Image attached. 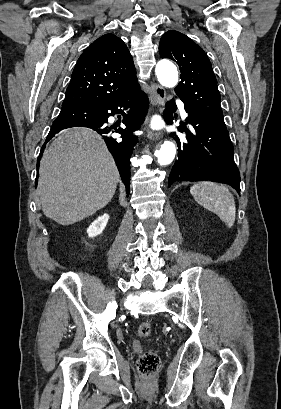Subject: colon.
<instances>
[{
  "mask_svg": "<svg viewBox=\"0 0 281 409\" xmlns=\"http://www.w3.org/2000/svg\"><path fill=\"white\" fill-rule=\"evenodd\" d=\"M136 332L139 336L149 337L152 334V326L149 323H140L136 327ZM159 358L153 352L144 353L138 362L139 370L143 373H151L157 369Z\"/></svg>",
  "mask_w": 281,
  "mask_h": 409,
  "instance_id": "colon-1",
  "label": "colon"
}]
</instances>
